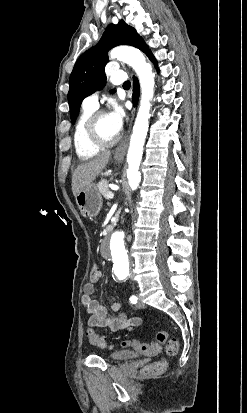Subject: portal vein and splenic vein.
Masks as SVG:
<instances>
[{
	"label": "portal vein and splenic vein",
	"instance_id": "portal-vein-and-splenic-vein-1",
	"mask_svg": "<svg viewBox=\"0 0 247 413\" xmlns=\"http://www.w3.org/2000/svg\"><path fill=\"white\" fill-rule=\"evenodd\" d=\"M107 196H108V198H114V194H113L112 190H109Z\"/></svg>",
	"mask_w": 247,
	"mask_h": 413
}]
</instances>
